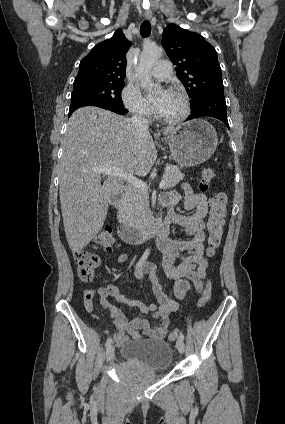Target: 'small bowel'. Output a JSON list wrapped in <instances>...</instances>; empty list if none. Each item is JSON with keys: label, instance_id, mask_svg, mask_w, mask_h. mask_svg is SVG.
I'll return each mask as SVG.
<instances>
[{"label": "small bowel", "instance_id": "1", "mask_svg": "<svg viewBox=\"0 0 285 424\" xmlns=\"http://www.w3.org/2000/svg\"><path fill=\"white\" fill-rule=\"evenodd\" d=\"M184 198V209L194 210L192 215H182L175 212L174 208ZM161 204L168 210L169 222L180 227L186 239L171 240L165 236L158 238V246L164 253L163 269L168 278L174 281V294L177 299L183 300L190 291L201 293L204 288V279L208 270L205 255L211 256L214 251L205 247L206 240L204 221L208 212V202L204 194L194 192L184 184L180 190L170 191L162 196ZM129 258L128 253H122L118 262L123 263ZM149 274L152 292L157 299V304H147L126 296L114 284H109L97 290L87 288L84 291V307L94 318V297L100 298V305L110 317L115 326L114 340L117 345L129 339H139L141 334L152 339H164L170 329V315L178 308L176 300L169 298L163 291L162 285L155 275V265L147 262L137 268L135 277L143 281ZM112 297L116 301L128 306L137 307L140 314L128 320L122 310L109 301ZM147 316L155 320L151 325Z\"/></svg>", "mask_w": 285, "mask_h": 424}]
</instances>
